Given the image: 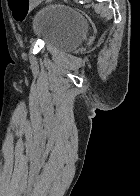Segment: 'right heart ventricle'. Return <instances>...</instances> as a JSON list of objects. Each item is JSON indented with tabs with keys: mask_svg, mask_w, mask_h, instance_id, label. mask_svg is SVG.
Segmentation results:
<instances>
[{
	"mask_svg": "<svg viewBox=\"0 0 140 196\" xmlns=\"http://www.w3.org/2000/svg\"><path fill=\"white\" fill-rule=\"evenodd\" d=\"M0 192H34V191H0Z\"/></svg>",
	"mask_w": 140,
	"mask_h": 196,
	"instance_id": "1",
	"label": "right heart ventricle"
}]
</instances>
